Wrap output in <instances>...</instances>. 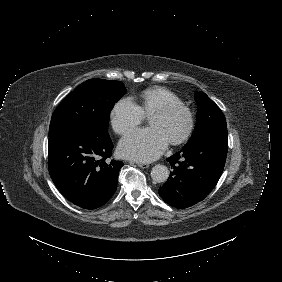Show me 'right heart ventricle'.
Returning a JSON list of instances; mask_svg holds the SVG:
<instances>
[{
    "label": "right heart ventricle",
    "instance_id": "obj_1",
    "mask_svg": "<svg viewBox=\"0 0 282 282\" xmlns=\"http://www.w3.org/2000/svg\"><path fill=\"white\" fill-rule=\"evenodd\" d=\"M135 104L145 116H149L163 103H180L179 99L170 91L163 88H153L144 91L139 98H135Z\"/></svg>",
    "mask_w": 282,
    "mask_h": 282
}]
</instances>
